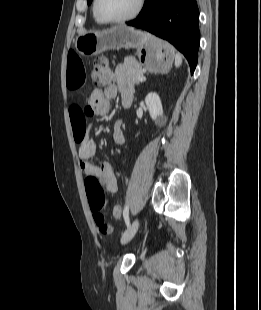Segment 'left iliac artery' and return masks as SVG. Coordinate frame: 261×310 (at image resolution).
<instances>
[{
	"instance_id": "44dca946",
	"label": "left iliac artery",
	"mask_w": 261,
	"mask_h": 310,
	"mask_svg": "<svg viewBox=\"0 0 261 310\" xmlns=\"http://www.w3.org/2000/svg\"><path fill=\"white\" fill-rule=\"evenodd\" d=\"M123 216H124V220H125L127 227H129L130 221H129V206L128 205L124 207Z\"/></svg>"
}]
</instances>
